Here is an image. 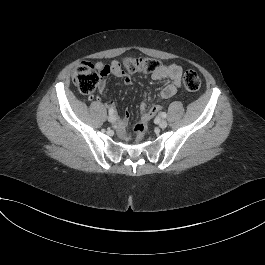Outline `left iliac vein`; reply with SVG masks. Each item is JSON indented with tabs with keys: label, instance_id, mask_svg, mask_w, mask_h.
<instances>
[{
	"label": "left iliac vein",
	"instance_id": "4c4485c4",
	"mask_svg": "<svg viewBox=\"0 0 265 265\" xmlns=\"http://www.w3.org/2000/svg\"><path fill=\"white\" fill-rule=\"evenodd\" d=\"M158 124H159V127L163 128V129L166 128L168 125L167 121L164 119H161Z\"/></svg>",
	"mask_w": 265,
	"mask_h": 265
}]
</instances>
